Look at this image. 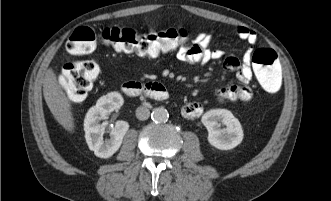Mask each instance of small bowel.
Here are the masks:
<instances>
[{"instance_id": "obj_1", "label": "small bowel", "mask_w": 331, "mask_h": 201, "mask_svg": "<svg viewBox=\"0 0 331 201\" xmlns=\"http://www.w3.org/2000/svg\"><path fill=\"white\" fill-rule=\"evenodd\" d=\"M238 36L249 44H255L257 33L247 27L237 29ZM212 35L202 32L190 43L180 46L177 50V58L187 64H206L211 61H218L224 57L221 49L211 48ZM224 68L227 71L235 72L240 85L233 84L219 88L215 91V97L219 102L248 101L252 98V89L248 86L253 78L254 69L252 64V51L245 52L242 61L236 57L228 56L224 59ZM203 112L200 102H189L182 106L181 113L186 118H196Z\"/></svg>"}]
</instances>
